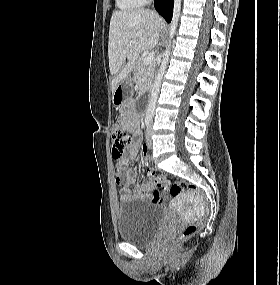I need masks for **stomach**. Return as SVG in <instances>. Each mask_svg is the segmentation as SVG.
Wrapping results in <instances>:
<instances>
[{"label":"stomach","mask_w":280,"mask_h":285,"mask_svg":"<svg viewBox=\"0 0 280 285\" xmlns=\"http://www.w3.org/2000/svg\"><path fill=\"white\" fill-rule=\"evenodd\" d=\"M131 86V77H126L117 85L112 97L113 103L115 105H120L128 98Z\"/></svg>","instance_id":"stomach-1"}]
</instances>
